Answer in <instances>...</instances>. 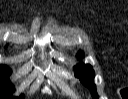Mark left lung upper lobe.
I'll list each match as a JSON object with an SVG mask.
<instances>
[{"instance_id":"left-lung-upper-lobe-1","label":"left lung upper lobe","mask_w":128,"mask_h":99,"mask_svg":"<svg viewBox=\"0 0 128 99\" xmlns=\"http://www.w3.org/2000/svg\"><path fill=\"white\" fill-rule=\"evenodd\" d=\"M83 56L82 52H79L77 57L81 59ZM75 76L79 77L82 84L91 90V95L94 99H98V94L96 92V86L93 84L94 79V71L91 65L89 64H78L75 67Z\"/></svg>"}]
</instances>
